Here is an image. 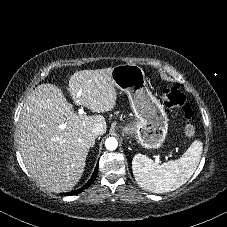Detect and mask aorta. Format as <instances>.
<instances>
[{
	"label": "aorta",
	"instance_id": "aorta-1",
	"mask_svg": "<svg viewBox=\"0 0 227 227\" xmlns=\"http://www.w3.org/2000/svg\"><path fill=\"white\" fill-rule=\"evenodd\" d=\"M118 146L117 139L114 137H109L105 141V147L108 150H115Z\"/></svg>",
	"mask_w": 227,
	"mask_h": 227
}]
</instances>
